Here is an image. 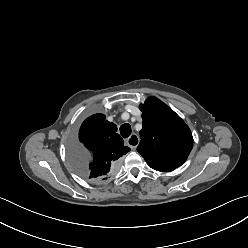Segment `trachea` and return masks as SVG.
<instances>
[{
  "instance_id": "1",
  "label": "trachea",
  "mask_w": 248,
  "mask_h": 248,
  "mask_svg": "<svg viewBox=\"0 0 248 248\" xmlns=\"http://www.w3.org/2000/svg\"><path fill=\"white\" fill-rule=\"evenodd\" d=\"M120 134L122 135V137L127 138L130 136L131 134V126L129 124H123L120 126Z\"/></svg>"
}]
</instances>
